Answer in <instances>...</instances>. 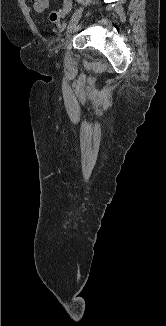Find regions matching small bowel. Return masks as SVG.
Returning a JSON list of instances; mask_svg holds the SVG:
<instances>
[{"label":"small bowel","mask_w":166,"mask_h":326,"mask_svg":"<svg viewBox=\"0 0 166 326\" xmlns=\"http://www.w3.org/2000/svg\"><path fill=\"white\" fill-rule=\"evenodd\" d=\"M31 4L36 13L42 14L48 9L50 0H31Z\"/></svg>","instance_id":"obj_1"}]
</instances>
